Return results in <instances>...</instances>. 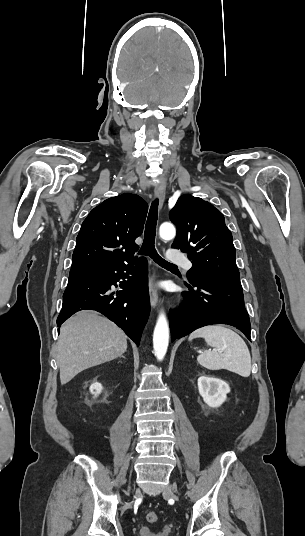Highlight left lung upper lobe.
Returning <instances> with one entry per match:
<instances>
[{"mask_svg":"<svg viewBox=\"0 0 305 536\" xmlns=\"http://www.w3.org/2000/svg\"><path fill=\"white\" fill-rule=\"evenodd\" d=\"M177 226L173 248L187 252L193 266L189 281L240 282L235 247L222 213L209 202L182 195L169 214Z\"/></svg>","mask_w":305,"mask_h":536,"instance_id":"5c2ea615","label":"left lung upper lobe"}]
</instances>
